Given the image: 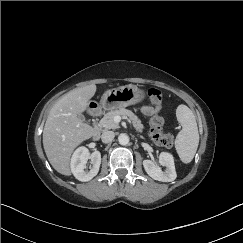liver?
I'll return each mask as SVG.
<instances>
[{
	"label": "liver",
	"instance_id": "1",
	"mask_svg": "<svg viewBox=\"0 0 243 243\" xmlns=\"http://www.w3.org/2000/svg\"><path fill=\"white\" fill-rule=\"evenodd\" d=\"M95 84L75 88L64 94L50 109L43 130V147L52 167L71 175L70 158L74 149L91 138L95 128L79 117L95 95Z\"/></svg>",
	"mask_w": 243,
	"mask_h": 243
}]
</instances>
